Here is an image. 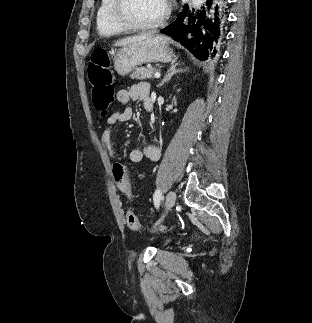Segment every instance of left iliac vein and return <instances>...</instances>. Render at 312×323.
<instances>
[{
    "mask_svg": "<svg viewBox=\"0 0 312 323\" xmlns=\"http://www.w3.org/2000/svg\"><path fill=\"white\" fill-rule=\"evenodd\" d=\"M175 201H176V194L174 191H170L166 197V202H165L166 209L167 210L171 209L174 206Z\"/></svg>",
    "mask_w": 312,
    "mask_h": 323,
    "instance_id": "left-iliac-vein-1",
    "label": "left iliac vein"
}]
</instances>
